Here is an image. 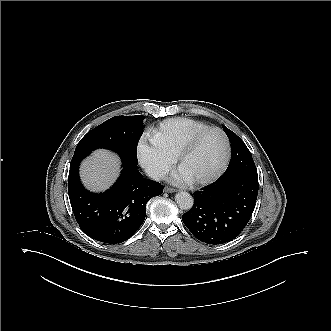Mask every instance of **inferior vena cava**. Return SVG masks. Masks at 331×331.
<instances>
[{"label":"inferior vena cava","instance_id":"602c4592","mask_svg":"<svg viewBox=\"0 0 331 331\" xmlns=\"http://www.w3.org/2000/svg\"><path fill=\"white\" fill-rule=\"evenodd\" d=\"M145 174L153 179V180H162L165 177V172L158 167H154V166H146L145 169Z\"/></svg>","mask_w":331,"mask_h":331}]
</instances>
